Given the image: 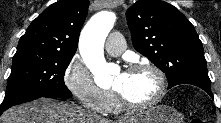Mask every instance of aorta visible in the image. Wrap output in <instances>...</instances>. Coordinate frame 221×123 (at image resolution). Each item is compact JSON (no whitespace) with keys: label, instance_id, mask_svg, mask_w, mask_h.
I'll return each instance as SVG.
<instances>
[{"label":"aorta","instance_id":"aorta-1","mask_svg":"<svg viewBox=\"0 0 221 123\" xmlns=\"http://www.w3.org/2000/svg\"><path fill=\"white\" fill-rule=\"evenodd\" d=\"M115 20L113 12L101 11L87 22L80 35V54L99 87L110 86L113 82L114 69L106 62L103 47Z\"/></svg>","mask_w":221,"mask_h":123}]
</instances>
